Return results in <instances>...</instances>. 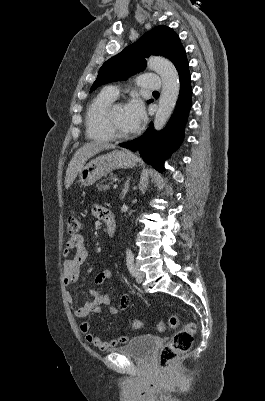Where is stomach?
<instances>
[{
    "mask_svg": "<svg viewBox=\"0 0 265 401\" xmlns=\"http://www.w3.org/2000/svg\"><path fill=\"white\" fill-rule=\"evenodd\" d=\"M139 158L130 150H112L107 154H100L89 160L79 172L80 182L83 186H90L99 180L104 174H108L115 168H133Z\"/></svg>",
    "mask_w": 265,
    "mask_h": 401,
    "instance_id": "obj_1",
    "label": "stomach"
}]
</instances>
